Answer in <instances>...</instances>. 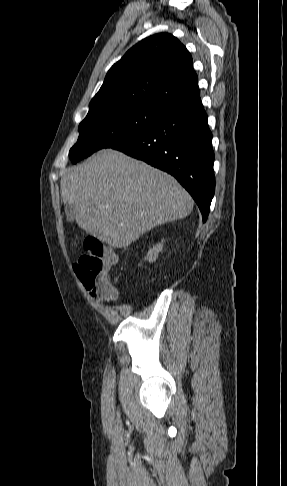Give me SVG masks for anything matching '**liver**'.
I'll return each mask as SVG.
<instances>
[{"mask_svg": "<svg viewBox=\"0 0 287 486\" xmlns=\"http://www.w3.org/2000/svg\"><path fill=\"white\" fill-rule=\"evenodd\" d=\"M60 186L77 225L114 248L187 217L194 205L172 176L112 149L63 171Z\"/></svg>", "mask_w": 287, "mask_h": 486, "instance_id": "liver-1", "label": "liver"}]
</instances>
